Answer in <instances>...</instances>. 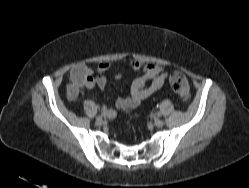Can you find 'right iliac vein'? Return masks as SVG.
I'll use <instances>...</instances> for the list:
<instances>
[{"label":"right iliac vein","mask_w":249,"mask_h":188,"mask_svg":"<svg viewBox=\"0 0 249 188\" xmlns=\"http://www.w3.org/2000/svg\"><path fill=\"white\" fill-rule=\"evenodd\" d=\"M103 120L102 119H99V120H96V122H95V124L97 125V126H101V125H103Z\"/></svg>","instance_id":"right-iliac-vein-1"}]
</instances>
